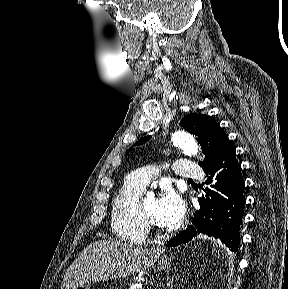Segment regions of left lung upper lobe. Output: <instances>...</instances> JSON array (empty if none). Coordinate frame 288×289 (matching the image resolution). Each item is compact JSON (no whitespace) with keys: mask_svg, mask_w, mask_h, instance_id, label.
Instances as JSON below:
<instances>
[{"mask_svg":"<svg viewBox=\"0 0 288 289\" xmlns=\"http://www.w3.org/2000/svg\"><path fill=\"white\" fill-rule=\"evenodd\" d=\"M180 125L197 137L205 155L204 160L198 163L202 168L214 159L223 142L228 139L220 125L204 114H189L181 120ZM149 139L150 136L144 137L135 145L144 144Z\"/></svg>","mask_w":288,"mask_h":289,"instance_id":"5c2ea615","label":"left lung upper lobe"}]
</instances>
